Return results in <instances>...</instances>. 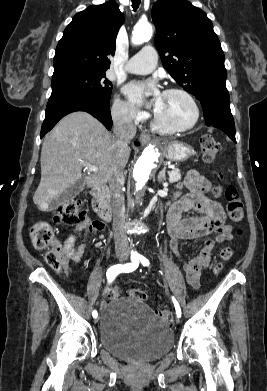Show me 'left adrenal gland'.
I'll use <instances>...</instances> for the list:
<instances>
[{
    "instance_id": "a2214340",
    "label": "left adrenal gland",
    "mask_w": 267,
    "mask_h": 391,
    "mask_svg": "<svg viewBox=\"0 0 267 391\" xmlns=\"http://www.w3.org/2000/svg\"><path fill=\"white\" fill-rule=\"evenodd\" d=\"M165 171H166V166H164V168L158 174L157 180L159 183H161L163 180L164 181L166 180Z\"/></svg>"
}]
</instances>
